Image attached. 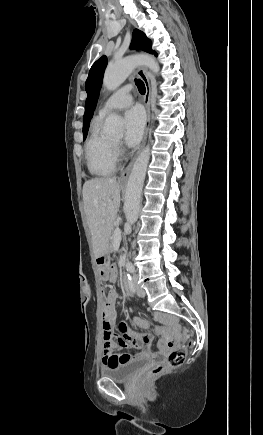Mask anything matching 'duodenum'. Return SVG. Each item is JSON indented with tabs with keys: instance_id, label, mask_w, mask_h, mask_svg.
I'll list each match as a JSON object with an SVG mask.
<instances>
[{
	"instance_id": "duodenum-1",
	"label": "duodenum",
	"mask_w": 263,
	"mask_h": 435,
	"mask_svg": "<svg viewBox=\"0 0 263 435\" xmlns=\"http://www.w3.org/2000/svg\"><path fill=\"white\" fill-rule=\"evenodd\" d=\"M124 286H125V289H126V291H130V286H129V283L125 280V282H124Z\"/></svg>"
}]
</instances>
